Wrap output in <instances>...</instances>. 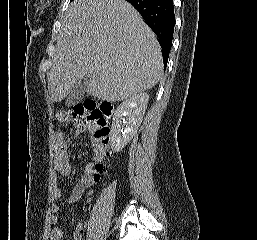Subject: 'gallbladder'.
Returning <instances> with one entry per match:
<instances>
[{"label": "gallbladder", "instance_id": "gallbladder-1", "mask_svg": "<svg viewBox=\"0 0 257 240\" xmlns=\"http://www.w3.org/2000/svg\"><path fill=\"white\" fill-rule=\"evenodd\" d=\"M86 83L84 78L75 84L65 103L67 106H74L81 101L86 91Z\"/></svg>", "mask_w": 257, "mask_h": 240}]
</instances>
